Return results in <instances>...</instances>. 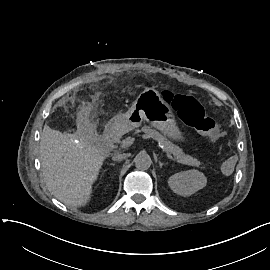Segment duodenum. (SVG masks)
<instances>
[{"label": "duodenum", "instance_id": "410a0bca", "mask_svg": "<svg viewBox=\"0 0 270 270\" xmlns=\"http://www.w3.org/2000/svg\"><path fill=\"white\" fill-rule=\"evenodd\" d=\"M125 123L122 120H114L110 122L103 135V141L107 146L115 145L123 134Z\"/></svg>", "mask_w": 270, "mask_h": 270}]
</instances>
